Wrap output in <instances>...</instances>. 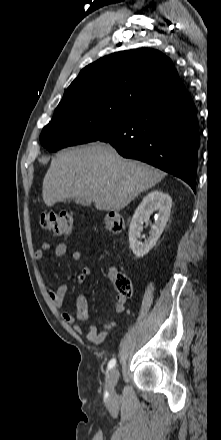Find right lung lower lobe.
Masks as SVG:
<instances>
[{
  "mask_svg": "<svg viewBox=\"0 0 221 440\" xmlns=\"http://www.w3.org/2000/svg\"><path fill=\"white\" fill-rule=\"evenodd\" d=\"M98 140L125 158L181 178L195 192L200 140L196 108L185 88L144 103Z\"/></svg>",
  "mask_w": 221,
  "mask_h": 440,
  "instance_id": "obj_1",
  "label": "right lung lower lobe"
}]
</instances>
